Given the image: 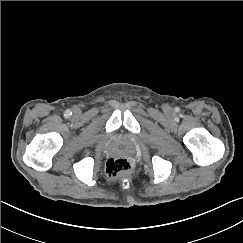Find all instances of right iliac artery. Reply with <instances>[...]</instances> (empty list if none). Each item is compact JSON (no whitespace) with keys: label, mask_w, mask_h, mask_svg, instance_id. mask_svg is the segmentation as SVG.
I'll list each match as a JSON object with an SVG mask.
<instances>
[{"label":"right iliac artery","mask_w":243,"mask_h":243,"mask_svg":"<svg viewBox=\"0 0 243 243\" xmlns=\"http://www.w3.org/2000/svg\"><path fill=\"white\" fill-rule=\"evenodd\" d=\"M72 114V112L69 110V109H67L66 111H65V116L66 117H69L70 115Z\"/></svg>","instance_id":"1"}]
</instances>
